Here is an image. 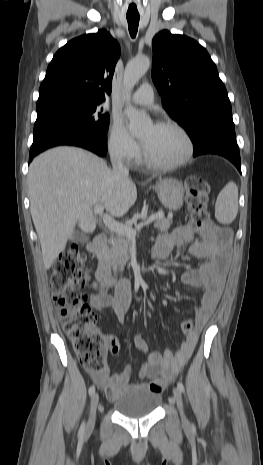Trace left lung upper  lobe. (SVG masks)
I'll use <instances>...</instances> for the list:
<instances>
[{"mask_svg":"<svg viewBox=\"0 0 263 465\" xmlns=\"http://www.w3.org/2000/svg\"><path fill=\"white\" fill-rule=\"evenodd\" d=\"M152 47V79L162 105L194 145L215 128H234L226 88L198 42L163 30L154 37Z\"/></svg>","mask_w":263,"mask_h":465,"instance_id":"5c2ea615","label":"left lung upper lobe"}]
</instances>
